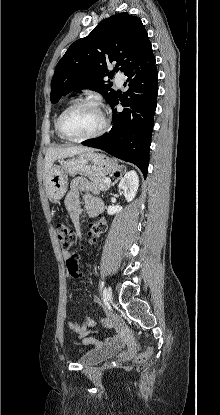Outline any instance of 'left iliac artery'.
<instances>
[{
	"instance_id": "44dca946",
	"label": "left iliac artery",
	"mask_w": 220,
	"mask_h": 415,
	"mask_svg": "<svg viewBox=\"0 0 220 415\" xmlns=\"http://www.w3.org/2000/svg\"><path fill=\"white\" fill-rule=\"evenodd\" d=\"M104 288V280L103 281H101V284H100V291H102V289Z\"/></svg>"
}]
</instances>
